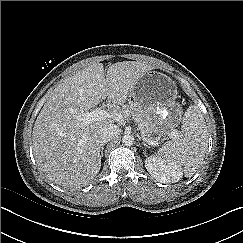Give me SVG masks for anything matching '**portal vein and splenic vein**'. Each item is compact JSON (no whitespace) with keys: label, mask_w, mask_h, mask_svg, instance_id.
<instances>
[{"label":"portal vein and splenic vein","mask_w":243,"mask_h":243,"mask_svg":"<svg viewBox=\"0 0 243 243\" xmlns=\"http://www.w3.org/2000/svg\"><path fill=\"white\" fill-rule=\"evenodd\" d=\"M109 117H110V114L107 111L102 110L100 108H95L91 112H85V113H82L80 115L81 121H83L84 124H90L93 121L103 120V119H106V118H109ZM135 121L137 122V119H135ZM175 134L176 133H173L171 135L175 136ZM144 140L149 145H153L154 144L150 139H147L146 137H144Z\"/></svg>","instance_id":"18ae733b"}]
</instances>
